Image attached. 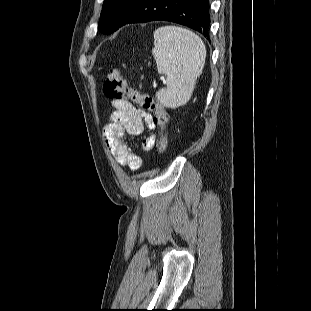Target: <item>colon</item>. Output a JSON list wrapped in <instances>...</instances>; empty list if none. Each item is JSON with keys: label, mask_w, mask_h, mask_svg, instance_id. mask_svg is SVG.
I'll return each instance as SVG.
<instances>
[{"label": "colon", "mask_w": 311, "mask_h": 311, "mask_svg": "<svg viewBox=\"0 0 311 311\" xmlns=\"http://www.w3.org/2000/svg\"><path fill=\"white\" fill-rule=\"evenodd\" d=\"M103 91L110 99L131 101L137 104L141 111L153 113L154 122L161 129L160 137L155 140L153 146L158 153H163L166 150L169 143L168 124L170 116L152 96L142 94L138 90L129 87L117 67L110 68Z\"/></svg>", "instance_id": "colon-1"}]
</instances>
